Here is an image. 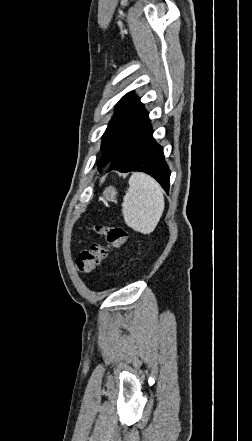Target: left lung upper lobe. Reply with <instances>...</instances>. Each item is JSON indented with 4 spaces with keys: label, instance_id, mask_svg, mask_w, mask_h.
I'll return each instance as SVG.
<instances>
[{
    "label": "left lung upper lobe",
    "instance_id": "left-lung-upper-lobe-1",
    "mask_svg": "<svg viewBox=\"0 0 252 441\" xmlns=\"http://www.w3.org/2000/svg\"><path fill=\"white\" fill-rule=\"evenodd\" d=\"M143 110V104L131 92L118 102L115 114L103 135L102 157L98 162L100 168L113 160L127 132Z\"/></svg>",
    "mask_w": 252,
    "mask_h": 441
}]
</instances>
